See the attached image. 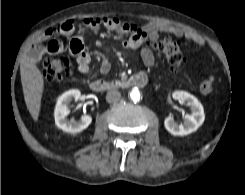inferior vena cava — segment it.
<instances>
[{
	"mask_svg": "<svg viewBox=\"0 0 245 195\" xmlns=\"http://www.w3.org/2000/svg\"><path fill=\"white\" fill-rule=\"evenodd\" d=\"M120 97H121V93L119 91L111 90L108 91L106 94V101L109 103H113L118 101Z\"/></svg>",
	"mask_w": 245,
	"mask_h": 195,
	"instance_id": "obj_1",
	"label": "inferior vena cava"
}]
</instances>
